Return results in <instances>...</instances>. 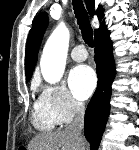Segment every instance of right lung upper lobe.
<instances>
[{"label": "right lung upper lobe", "mask_w": 139, "mask_h": 150, "mask_svg": "<svg viewBox=\"0 0 139 150\" xmlns=\"http://www.w3.org/2000/svg\"><path fill=\"white\" fill-rule=\"evenodd\" d=\"M88 12L90 15L96 14L98 19L101 20L104 17V9L100 6L95 11L94 10V0H85ZM48 17L47 14L41 13L34 20L32 28L30 30L25 54V71H26V81L28 82L32 76V72L34 70L35 64L37 62L38 50L42 41L43 34L47 27ZM103 25L101 23L100 27ZM98 30V29H97ZM94 31V33L97 32Z\"/></svg>", "instance_id": "cb5924a9"}]
</instances>
